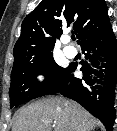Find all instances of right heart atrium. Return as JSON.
<instances>
[{
    "label": "right heart atrium",
    "mask_w": 117,
    "mask_h": 131,
    "mask_svg": "<svg viewBox=\"0 0 117 131\" xmlns=\"http://www.w3.org/2000/svg\"><path fill=\"white\" fill-rule=\"evenodd\" d=\"M38 79L40 80V79H41V76H39Z\"/></svg>",
    "instance_id": "d8ad5b80"
}]
</instances>
